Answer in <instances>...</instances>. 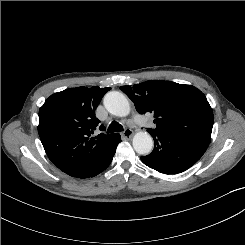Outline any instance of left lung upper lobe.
Segmentation results:
<instances>
[{
    "label": "left lung upper lobe",
    "mask_w": 245,
    "mask_h": 245,
    "mask_svg": "<svg viewBox=\"0 0 245 245\" xmlns=\"http://www.w3.org/2000/svg\"><path fill=\"white\" fill-rule=\"evenodd\" d=\"M140 114L155 115L150 134L183 138L208 147L213 127V111L205 95L191 85L150 80L121 86Z\"/></svg>",
    "instance_id": "obj_1"
}]
</instances>
